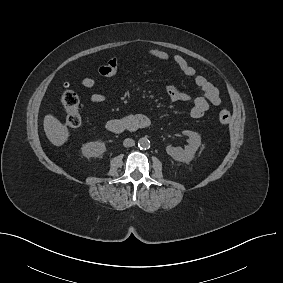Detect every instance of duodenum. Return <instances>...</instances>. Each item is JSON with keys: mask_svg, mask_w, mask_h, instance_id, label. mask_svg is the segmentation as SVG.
I'll return each instance as SVG.
<instances>
[{"mask_svg": "<svg viewBox=\"0 0 283 283\" xmlns=\"http://www.w3.org/2000/svg\"><path fill=\"white\" fill-rule=\"evenodd\" d=\"M150 120L145 115H127L122 118L110 119L106 123V128L112 133L120 134L124 131H137L150 126Z\"/></svg>", "mask_w": 283, "mask_h": 283, "instance_id": "410a0bca", "label": "duodenum"}]
</instances>
